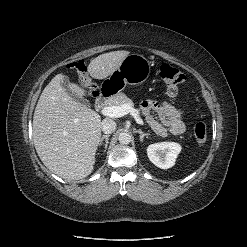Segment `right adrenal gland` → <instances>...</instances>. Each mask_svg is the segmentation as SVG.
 Wrapping results in <instances>:
<instances>
[{
	"instance_id": "1",
	"label": "right adrenal gland",
	"mask_w": 247,
	"mask_h": 247,
	"mask_svg": "<svg viewBox=\"0 0 247 247\" xmlns=\"http://www.w3.org/2000/svg\"><path fill=\"white\" fill-rule=\"evenodd\" d=\"M109 137H110V135H103L101 137V139H100L99 146H101L103 144V142L105 141V150H104V152L107 149V146H108V143H109V141H108L109 140Z\"/></svg>"
}]
</instances>
